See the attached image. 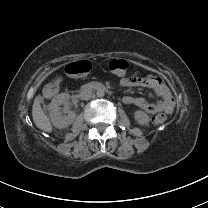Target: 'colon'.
I'll return each instance as SVG.
<instances>
[{
  "label": "colon",
  "mask_w": 208,
  "mask_h": 208,
  "mask_svg": "<svg viewBox=\"0 0 208 208\" xmlns=\"http://www.w3.org/2000/svg\"><path fill=\"white\" fill-rule=\"evenodd\" d=\"M128 64L123 59H114L109 63V70L118 75H123L127 70ZM92 70V65L88 61H82L80 63L69 64L65 68V72L68 76H82L84 74L90 73ZM152 122L155 126H162L166 122V116L164 114H159L152 119Z\"/></svg>",
  "instance_id": "obj_1"
}]
</instances>
